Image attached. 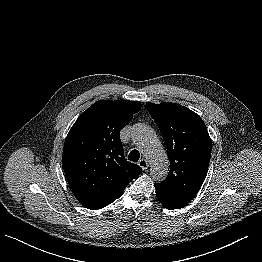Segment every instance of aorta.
I'll use <instances>...</instances> for the list:
<instances>
[{"label":"aorta","mask_w":262,"mask_h":262,"mask_svg":"<svg viewBox=\"0 0 262 262\" xmlns=\"http://www.w3.org/2000/svg\"><path fill=\"white\" fill-rule=\"evenodd\" d=\"M132 139L149 160L152 179L164 180L169 171L168 157L154 130L148 125L137 124L132 130Z\"/></svg>","instance_id":"1"}]
</instances>
